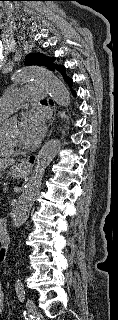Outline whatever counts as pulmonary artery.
<instances>
[{
  "mask_svg": "<svg viewBox=\"0 0 118 320\" xmlns=\"http://www.w3.org/2000/svg\"><path fill=\"white\" fill-rule=\"evenodd\" d=\"M42 89L43 86L41 84L32 83L23 86L21 89L12 90L9 95L0 98V113L8 115L26 101L42 100Z\"/></svg>",
  "mask_w": 118,
  "mask_h": 320,
  "instance_id": "pulmonary-artery-1",
  "label": "pulmonary artery"
}]
</instances>
